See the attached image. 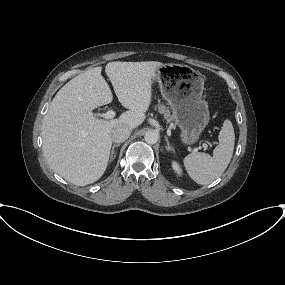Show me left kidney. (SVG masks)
I'll list each match as a JSON object with an SVG mask.
<instances>
[{
  "instance_id": "1",
  "label": "left kidney",
  "mask_w": 285,
  "mask_h": 285,
  "mask_svg": "<svg viewBox=\"0 0 285 285\" xmlns=\"http://www.w3.org/2000/svg\"><path fill=\"white\" fill-rule=\"evenodd\" d=\"M172 168L178 175H182V169L180 165L178 164V162L172 161Z\"/></svg>"
}]
</instances>
